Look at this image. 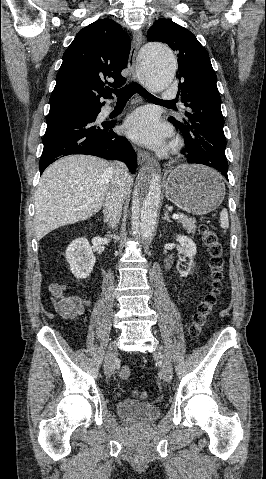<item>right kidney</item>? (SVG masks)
<instances>
[{"label": "right kidney", "instance_id": "ca27d5eb", "mask_svg": "<svg viewBox=\"0 0 266 479\" xmlns=\"http://www.w3.org/2000/svg\"><path fill=\"white\" fill-rule=\"evenodd\" d=\"M66 260L76 278L89 277L95 265V256L88 240L79 238L72 241L66 249Z\"/></svg>", "mask_w": 266, "mask_h": 479}]
</instances>
